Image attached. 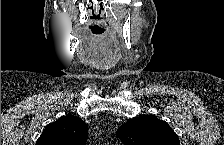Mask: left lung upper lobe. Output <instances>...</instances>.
<instances>
[{"label": "left lung upper lobe", "instance_id": "obj_1", "mask_svg": "<svg viewBox=\"0 0 224 145\" xmlns=\"http://www.w3.org/2000/svg\"><path fill=\"white\" fill-rule=\"evenodd\" d=\"M124 145H180L177 134L156 116L134 118L116 132Z\"/></svg>", "mask_w": 224, "mask_h": 145}]
</instances>
